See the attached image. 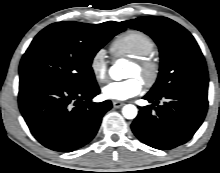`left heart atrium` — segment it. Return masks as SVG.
I'll use <instances>...</instances> for the list:
<instances>
[{
    "label": "left heart atrium",
    "instance_id": "39dd6f15",
    "mask_svg": "<svg viewBox=\"0 0 220 173\" xmlns=\"http://www.w3.org/2000/svg\"><path fill=\"white\" fill-rule=\"evenodd\" d=\"M143 89V82L138 77H131L124 81L107 84L102 93L104 98L110 100H127L138 95Z\"/></svg>",
    "mask_w": 220,
    "mask_h": 173
}]
</instances>
